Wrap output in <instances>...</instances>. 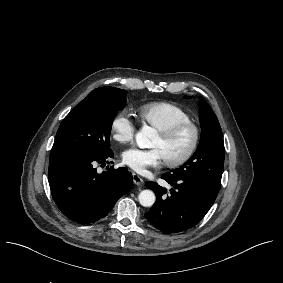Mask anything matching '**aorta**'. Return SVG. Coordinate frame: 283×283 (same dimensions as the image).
Wrapping results in <instances>:
<instances>
[{
    "instance_id": "762f6f07",
    "label": "aorta",
    "mask_w": 283,
    "mask_h": 283,
    "mask_svg": "<svg viewBox=\"0 0 283 283\" xmlns=\"http://www.w3.org/2000/svg\"><path fill=\"white\" fill-rule=\"evenodd\" d=\"M156 136V130L149 126H144L136 134V142L140 148H150L152 141ZM140 204L144 207H151L154 205L156 197L152 190H142L138 195Z\"/></svg>"
}]
</instances>
